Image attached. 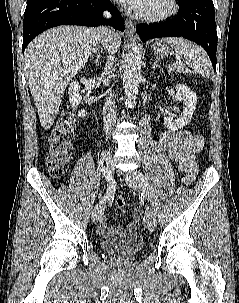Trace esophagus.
<instances>
[{
    "label": "esophagus",
    "instance_id": "esophagus-1",
    "mask_svg": "<svg viewBox=\"0 0 239 303\" xmlns=\"http://www.w3.org/2000/svg\"><path fill=\"white\" fill-rule=\"evenodd\" d=\"M135 33V26L132 21L126 19L125 21V34L127 37L133 38Z\"/></svg>",
    "mask_w": 239,
    "mask_h": 303
}]
</instances>
